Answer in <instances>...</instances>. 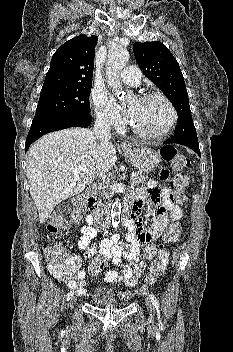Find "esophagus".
<instances>
[{"instance_id":"esophagus-1","label":"esophagus","mask_w":233,"mask_h":352,"mask_svg":"<svg viewBox=\"0 0 233 352\" xmlns=\"http://www.w3.org/2000/svg\"><path fill=\"white\" fill-rule=\"evenodd\" d=\"M120 147H121V148H127V144H126V143H121V144H120Z\"/></svg>"}]
</instances>
